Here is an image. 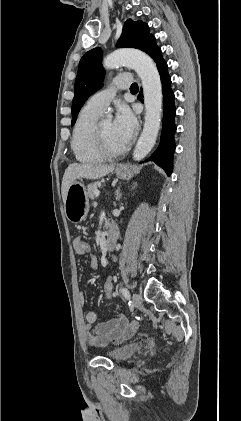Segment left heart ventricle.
<instances>
[{
	"label": "left heart ventricle",
	"mask_w": 241,
	"mask_h": 421,
	"mask_svg": "<svg viewBox=\"0 0 241 421\" xmlns=\"http://www.w3.org/2000/svg\"><path fill=\"white\" fill-rule=\"evenodd\" d=\"M102 129L104 132V136L108 146L112 149H120L125 144L121 141V139L116 134L114 129V124L112 121H104L102 122Z\"/></svg>",
	"instance_id": "left-heart-ventricle-1"
}]
</instances>
